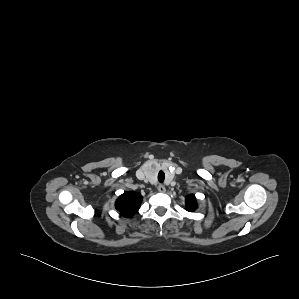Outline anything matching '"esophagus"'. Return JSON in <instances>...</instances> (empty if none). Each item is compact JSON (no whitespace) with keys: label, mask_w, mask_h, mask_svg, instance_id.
<instances>
[{"label":"esophagus","mask_w":299,"mask_h":299,"mask_svg":"<svg viewBox=\"0 0 299 299\" xmlns=\"http://www.w3.org/2000/svg\"><path fill=\"white\" fill-rule=\"evenodd\" d=\"M157 189H158V191L161 192V193L166 192V188H165L164 185H159V186L157 187Z\"/></svg>","instance_id":"obj_1"}]
</instances>
